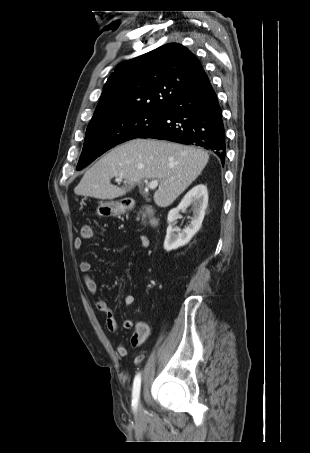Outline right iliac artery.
<instances>
[{
    "mask_svg": "<svg viewBox=\"0 0 310 453\" xmlns=\"http://www.w3.org/2000/svg\"><path fill=\"white\" fill-rule=\"evenodd\" d=\"M140 388H141V375L138 373L135 376L134 382H133V391H132V406L133 409H136L138 401H139V396H140Z\"/></svg>",
    "mask_w": 310,
    "mask_h": 453,
    "instance_id": "obj_1",
    "label": "right iliac artery"
}]
</instances>
